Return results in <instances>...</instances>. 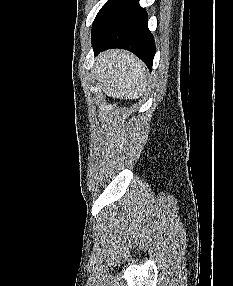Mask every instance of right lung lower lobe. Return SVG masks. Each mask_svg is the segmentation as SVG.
<instances>
[{"label": "right lung lower lobe", "instance_id": "right-lung-lower-lobe-1", "mask_svg": "<svg viewBox=\"0 0 233 286\" xmlns=\"http://www.w3.org/2000/svg\"><path fill=\"white\" fill-rule=\"evenodd\" d=\"M147 20V12L138 0H108L93 22L95 55L110 48L126 49L152 70L156 48Z\"/></svg>", "mask_w": 233, "mask_h": 286}]
</instances>
